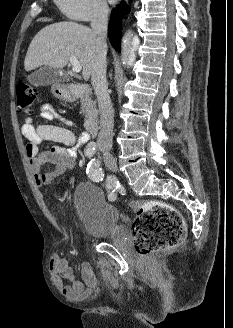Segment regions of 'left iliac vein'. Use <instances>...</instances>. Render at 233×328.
Returning a JSON list of instances; mask_svg holds the SVG:
<instances>
[{"mask_svg": "<svg viewBox=\"0 0 233 328\" xmlns=\"http://www.w3.org/2000/svg\"><path fill=\"white\" fill-rule=\"evenodd\" d=\"M103 158H104L106 167L109 170L116 172L117 171V163H116L115 158L108 151L104 152Z\"/></svg>", "mask_w": 233, "mask_h": 328, "instance_id": "obj_1", "label": "left iliac vein"}]
</instances>
